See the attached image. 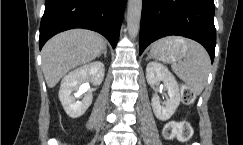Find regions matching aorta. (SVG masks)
Instances as JSON below:
<instances>
[{
    "label": "aorta",
    "mask_w": 243,
    "mask_h": 145,
    "mask_svg": "<svg viewBox=\"0 0 243 145\" xmlns=\"http://www.w3.org/2000/svg\"><path fill=\"white\" fill-rule=\"evenodd\" d=\"M141 10L142 0H128L127 28L132 39H134L139 32Z\"/></svg>",
    "instance_id": "1"
}]
</instances>
